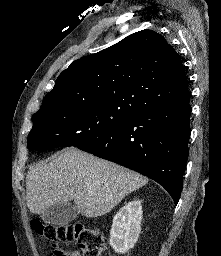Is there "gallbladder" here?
<instances>
[{
    "label": "gallbladder",
    "mask_w": 221,
    "mask_h": 256,
    "mask_svg": "<svg viewBox=\"0 0 221 256\" xmlns=\"http://www.w3.org/2000/svg\"><path fill=\"white\" fill-rule=\"evenodd\" d=\"M78 215V210L74 204L57 203L42 213V220L45 223L54 225H66L73 221Z\"/></svg>",
    "instance_id": "obj_1"
}]
</instances>
